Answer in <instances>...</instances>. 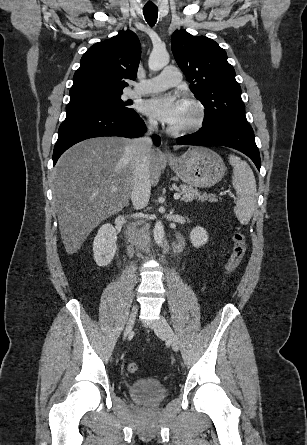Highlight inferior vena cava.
I'll return each instance as SVG.
<instances>
[{
  "instance_id": "1",
  "label": "inferior vena cava",
  "mask_w": 307,
  "mask_h": 445,
  "mask_svg": "<svg viewBox=\"0 0 307 445\" xmlns=\"http://www.w3.org/2000/svg\"><path fill=\"white\" fill-rule=\"evenodd\" d=\"M157 126V120H150L149 130L145 136L133 138L128 148L135 158L133 188L131 198L134 208H143L147 206L150 198L151 180L149 172V152L151 150L152 140L150 134Z\"/></svg>"
}]
</instances>
